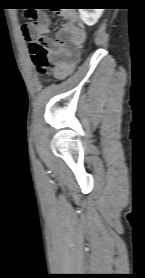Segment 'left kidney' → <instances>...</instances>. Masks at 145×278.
<instances>
[{
	"label": "left kidney",
	"mask_w": 145,
	"mask_h": 278,
	"mask_svg": "<svg viewBox=\"0 0 145 278\" xmlns=\"http://www.w3.org/2000/svg\"><path fill=\"white\" fill-rule=\"evenodd\" d=\"M104 9H79L81 19L88 25H94L101 17Z\"/></svg>",
	"instance_id": "5707ae66"
}]
</instances>
